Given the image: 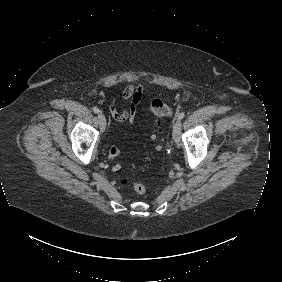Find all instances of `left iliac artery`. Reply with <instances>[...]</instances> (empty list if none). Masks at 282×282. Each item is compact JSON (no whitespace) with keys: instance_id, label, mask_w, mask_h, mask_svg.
Listing matches in <instances>:
<instances>
[{"instance_id":"1","label":"left iliac artery","mask_w":282,"mask_h":282,"mask_svg":"<svg viewBox=\"0 0 282 282\" xmlns=\"http://www.w3.org/2000/svg\"><path fill=\"white\" fill-rule=\"evenodd\" d=\"M185 116V112H181L179 115H178V120H181L182 118H184Z\"/></svg>"}]
</instances>
